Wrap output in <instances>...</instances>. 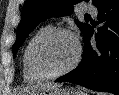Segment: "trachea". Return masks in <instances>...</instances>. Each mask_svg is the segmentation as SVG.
I'll use <instances>...</instances> for the list:
<instances>
[{
	"instance_id": "1",
	"label": "trachea",
	"mask_w": 119,
	"mask_h": 95,
	"mask_svg": "<svg viewBox=\"0 0 119 95\" xmlns=\"http://www.w3.org/2000/svg\"><path fill=\"white\" fill-rule=\"evenodd\" d=\"M86 16H87V17H90V15H88V14H87Z\"/></svg>"
}]
</instances>
